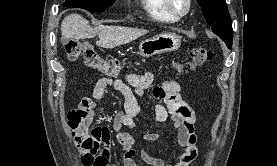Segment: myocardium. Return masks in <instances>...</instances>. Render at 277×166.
I'll return each mask as SVG.
<instances>
[{
  "instance_id": "1",
  "label": "myocardium",
  "mask_w": 277,
  "mask_h": 166,
  "mask_svg": "<svg viewBox=\"0 0 277 166\" xmlns=\"http://www.w3.org/2000/svg\"><path fill=\"white\" fill-rule=\"evenodd\" d=\"M162 1H163V6L166 9V11L170 15H172L175 19H179V18L186 16L190 12L191 7H192V0H186V8L184 9V11L177 12L176 10L173 9L170 0H162Z\"/></svg>"
}]
</instances>
